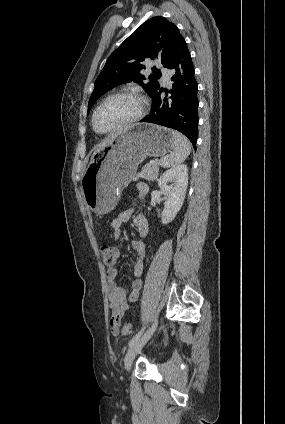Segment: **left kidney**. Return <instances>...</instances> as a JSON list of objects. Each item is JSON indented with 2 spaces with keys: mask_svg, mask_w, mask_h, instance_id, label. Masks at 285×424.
<instances>
[{
  "mask_svg": "<svg viewBox=\"0 0 285 424\" xmlns=\"http://www.w3.org/2000/svg\"><path fill=\"white\" fill-rule=\"evenodd\" d=\"M171 183V185H169ZM188 185L187 165H177L165 171L158 179L161 192L167 196L161 214V222L168 224L176 217L181 209Z\"/></svg>",
  "mask_w": 285,
  "mask_h": 424,
  "instance_id": "left-kidney-1",
  "label": "left kidney"
}]
</instances>
